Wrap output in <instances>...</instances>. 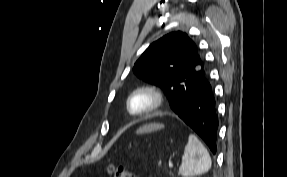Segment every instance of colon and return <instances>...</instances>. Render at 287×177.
<instances>
[{"label": "colon", "instance_id": "colon-1", "mask_svg": "<svg viewBox=\"0 0 287 177\" xmlns=\"http://www.w3.org/2000/svg\"><path fill=\"white\" fill-rule=\"evenodd\" d=\"M109 177H137L132 171L123 166L109 164L106 168Z\"/></svg>", "mask_w": 287, "mask_h": 177}]
</instances>
